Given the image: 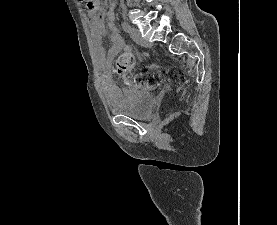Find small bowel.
Instances as JSON below:
<instances>
[{"label":"small bowel","instance_id":"obj_1","mask_svg":"<svg viewBox=\"0 0 277 225\" xmlns=\"http://www.w3.org/2000/svg\"><path fill=\"white\" fill-rule=\"evenodd\" d=\"M114 5H111L110 10L107 14L109 19L108 28L111 30V46L108 50V53L105 55L103 48L101 46V39L104 37L106 31L102 25L103 14H97L94 9H90L89 11V25L90 31L94 39L95 50L98 59L100 62L106 66V64L111 61L121 50L127 49L123 38L117 32L114 21ZM102 89L105 97L109 102H114L118 95L119 90L112 83L109 72L105 70L103 78H102Z\"/></svg>","mask_w":277,"mask_h":225}]
</instances>
